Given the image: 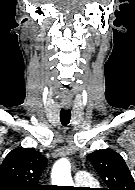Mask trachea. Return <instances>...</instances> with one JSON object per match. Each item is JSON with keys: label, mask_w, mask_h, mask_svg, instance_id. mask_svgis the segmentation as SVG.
Instances as JSON below:
<instances>
[{"label": "trachea", "mask_w": 135, "mask_h": 190, "mask_svg": "<svg viewBox=\"0 0 135 190\" xmlns=\"http://www.w3.org/2000/svg\"><path fill=\"white\" fill-rule=\"evenodd\" d=\"M71 119V111L70 109H61L60 112V121L63 126L68 125Z\"/></svg>", "instance_id": "3493384b"}]
</instances>
